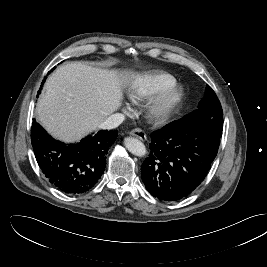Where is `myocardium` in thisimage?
<instances>
[{"label": "myocardium", "mask_w": 267, "mask_h": 267, "mask_svg": "<svg viewBox=\"0 0 267 267\" xmlns=\"http://www.w3.org/2000/svg\"><path fill=\"white\" fill-rule=\"evenodd\" d=\"M183 98V88L179 85H173L148 103L145 114L151 121H165L178 110Z\"/></svg>", "instance_id": "1"}]
</instances>
